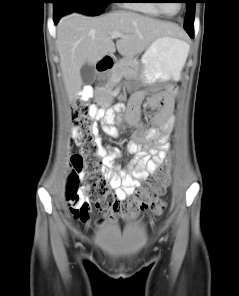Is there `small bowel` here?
<instances>
[{"label": "small bowel", "instance_id": "small-bowel-1", "mask_svg": "<svg viewBox=\"0 0 239 296\" xmlns=\"http://www.w3.org/2000/svg\"><path fill=\"white\" fill-rule=\"evenodd\" d=\"M90 90L85 88V92ZM135 101H130L127 109L128 121L138 128L133 139L127 144V151L132 155L125 168L115 165V158L120 154L118 150L101 145V131L96 127L95 134L100 144L99 154L102 157V170L108 186L114 191L119 201H124L132 195L143 181L155 173L165 161L170 148L169 137L172 133L175 118L173 115V95L165 94V104L162 97L154 96L146 102V108L155 110L151 118L152 125L144 128L140 122V103L142 93L133 94ZM122 109L117 105L106 111L93 109L91 115L102 119L101 130L112 137H118L119 131L113 125L115 115Z\"/></svg>", "mask_w": 239, "mask_h": 296}]
</instances>
